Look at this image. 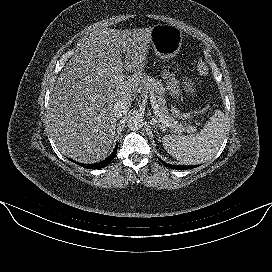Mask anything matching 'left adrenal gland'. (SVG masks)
Here are the masks:
<instances>
[{
  "instance_id": "obj_1",
  "label": "left adrenal gland",
  "mask_w": 272,
  "mask_h": 272,
  "mask_svg": "<svg viewBox=\"0 0 272 272\" xmlns=\"http://www.w3.org/2000/svg\"><path fill=\"white\" fill-rule=\"evenodd\" d=\"M152 123V125H153V127L155 128V130H156V132H157V135H158V137H159V139H158V141H161L160 140V133L158 132V129H157V127L159 126L158 124H156L154 121H151Z\"/></svg>"
}]
</instances>
